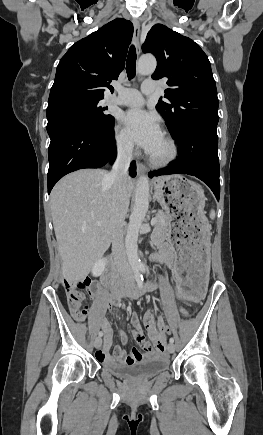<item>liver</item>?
Segmentation results:
<instances>
[{"mask_svg":"<svg viewBox=\"0 0 263 435\" xmlns=\"http://www.w3.org/2000/svg\"><path fill=\"white\" fill-rule=\"evenodd\" d=\"M107 175L105 170H79L62 178L51 192L62 276L69 282L85 278L111 244L114 204ZM126 187L130 197L134 188L131 178Z\"/></svg>","mask_w":263,"mask_h":435,"instance_id":"6515ba94","label":"liver"}]
</instances>
